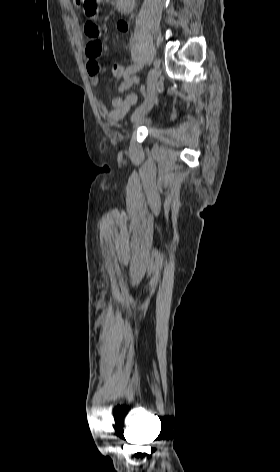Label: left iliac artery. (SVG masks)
<instances>
[{"label": "left iliac artery", "mask_w": 280, "mask_h": 472, "mask_svg": "<svg viewBox=\"0 0 280 472\" xmlns=\"http://www.w3.org/2000/svg\"><path fill=\"white\" fill-rule=\"evenodd\" d=\"M141 67H142V63H138V64L130 65L126 68L125 73H124V79H125V82L129 86H133L136 83L135 78L132 75L136 73L137 71H139ZM141 92L145 96V92L143 89H141Z\"/></svg>", "instance_id": "left-iliac-artery-1"}]
</instances>
